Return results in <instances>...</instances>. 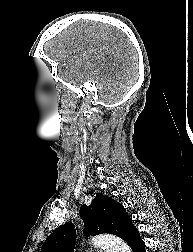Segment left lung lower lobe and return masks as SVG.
<instances>
[{
	"instance_id": "obj_1",
	"label": "left lung lower lobe",
	"mask_w": 193,
	"mask_h": 252,
	"mask_svg": "<svg viewBox=\"0 0 193 252\" xmlns=\"http://www.w3.org/2000/svg\"><path fill=\"white\" fill-rule=\"evenodd\" d=\"M127 243L131 246L133 252H146L145 243L141 239L136 227L130 233Z\"/></svg>"
}]
</instances>
